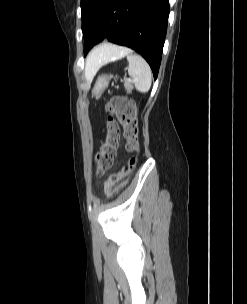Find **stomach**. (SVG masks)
<instances>
[{
  "label": "stomach",
  "instance_id": "1",
  "mask_svg": "<svg viewBox=\"0 0 247 304\" xmlns=\"http://www.w3.org/2000/svg\"><path fill=\"white\" fill-rule=\"evenodd\" d=\"M110 78L108 75H101L97 78L92 93L94 95L101 94L109 85Z\"/></svg>",
  "mask_w": 247,
  "mask_h": 304
}]
</instances>
